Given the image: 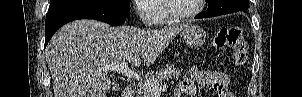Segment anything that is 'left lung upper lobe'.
<instances>
[{"label":"left lung upper lobe","instance_id":"obj_1","mask_svg":"<svg viewBox=\"0 0 302 97\" xmlns=\"http://www.w3.org/2000/svg\"><path fill=\"white\" fill-rule=\"evenodd\" d=\"M211 12L227 14L235 11L246 12L249 7V0H206Z\"/></svg>","mask_w":302,"mask_h":97}]
</instances>
